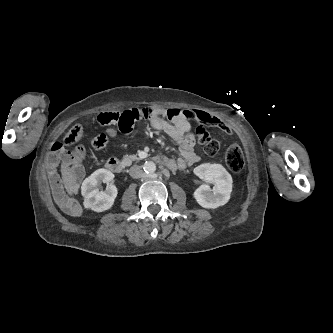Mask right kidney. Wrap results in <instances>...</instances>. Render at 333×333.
Masks as SVG:
<instances>
[{
    "label": "right kidney",
    "mask_w": 333,
    "mask_h": 333,
    "mask_svg": "<svg viewBox=\"0 0 333 333\" xmlns=\"http://www.w3.org/2000/svg\"><path fill=\"white\" fill-rule=\"evenodd\" d=\"M114 174L107 169H98L87 177L81 186V194L84 197L85 208L95 212H102L112 207L117 196V188L113 184ZM107 184L104 191L99 187Z\"/></svg>",
    "instance_id": "ca27d5eb"
}]
</instances>
